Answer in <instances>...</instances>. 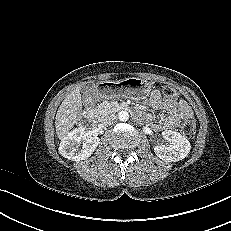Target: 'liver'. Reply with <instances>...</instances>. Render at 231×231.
Segmentation results:
<instances>
[{"label": "liver", "mask_w": 231, "mask_h": 231, "mask_svg": "<svg viewBox=\"0 0 231 231\" xmlns=\"http://www.w3.org/2000/svg\"><path fill=\"white\" fill-rule=\"evenodd\" d=\"M82 112V97L80 88L71 91L58 108L55 118L57 137L62 140L74 124L78 122Z\"/></svg>", "instance_id": "6515ba94"}]
</instances>
